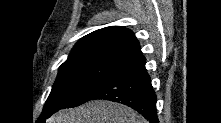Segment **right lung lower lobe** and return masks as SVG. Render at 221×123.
<instances>
[{
  "label": "right lung lower lobe",
  "instance_id": "obj_1",
  "mask_svg": "<svg viewBox=\"0 0 221 123\" xmlns=\"http://www.w3.org/2000/svg\"><path fill=\"white\" fill-rule=\"evenodd\" d=\"M145 63L146 59L142 54L130 58L94 88L89 100L120 102L137 110L150 123H158L156 95ZM51 114L53 112L41 115V120L45 121Z\"/></svg>",
  "mask_w": 221,
  "mask_h": 123
}]
</instances>
